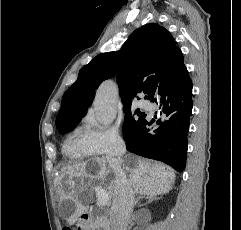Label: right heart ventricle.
<instances>
[{
	"mask_svg": "<svg viewBox=\"0 0 241 230\" xmlns=\"http://www.w3.org/2000/svg\"><path fill=\"white\" fill-rule=\"evenodd\" d=\"M65 155L73 161L82 160L93 155L84 140V135L78 132L73 133L63 146Z\"/></svg>",
	"mask_w": 241,
	"mask_h": 230,
	"instance_id": "1",
	"label": "right heart ventricle"
}]
</instances>
